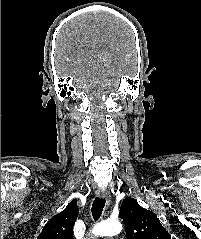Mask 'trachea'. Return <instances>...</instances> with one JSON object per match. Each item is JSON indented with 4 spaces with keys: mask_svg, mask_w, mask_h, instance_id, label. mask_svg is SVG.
Returning a JSON list of instances; mask_svg holds the SVG:
<instances>
[{
    "mask_svg": "<svg viewBox=\"0 0 201 239\" xmlns=\"http://www.w3.org/2000/svg\"><path fill=\"white\" fill-rule=\"evenodd\" d=\"M105 203L106 200L99 197H96L93 201L91 212L94 220H98L101 217Z\"/></svg>",
    "mask_w": 201,
    "mask_h": 239,
    "instance_id": "trachea-1",
    "label": "trachea"
}]
</instances>
